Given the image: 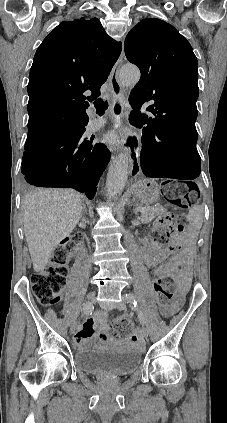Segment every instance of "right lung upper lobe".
<instances>
[{"label": "right lung upper lobe", "mask_w": 227, "mask_h": 423, "mask_svg": "<svg viewBox=\"0 0 227 423\" xmlns=\"http://www.w3.org/2000/svg\"><path fill=\"white\" fill-rule=\"evenodd\" d=\"M122 45L110 38L97 18L79 17L60 23L34 56L28 83V113L40 106L59 114L30 118L25 149L38 146L81 123L87 101L100 96V87L118 60ZM91 91L89 97L84 92Z\"/></svg>", "instance_id": "obj_1"}]
</instances>
